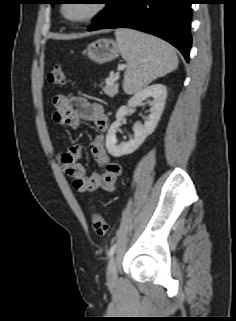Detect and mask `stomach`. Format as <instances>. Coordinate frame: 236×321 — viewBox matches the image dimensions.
Wrapping results in <instances>:
<instances>
[{"label":"stomach","instance_id":"1","mask_svg":"<svg viewBox=\"0 0 236 321\" xmlns=\"http://www.w3.org/2000/svg\"><path fill=\"white\" fill-rule=\"evenodd\" d=\"M85 52L92 61L98 64L112 61L120 54L117 42L104 38L90 43Z\"/></svg>","mask_w":236,"mask_h":321}]
</instances>
